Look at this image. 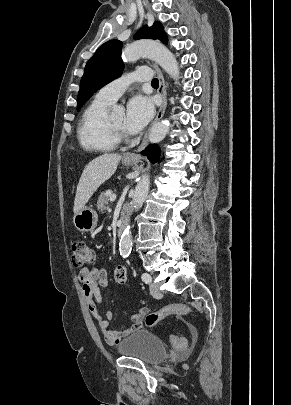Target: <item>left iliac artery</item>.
Listing matches in <instances>:
<instances>
[{"mask_svg": "<svg viewBox=\"0 0 291 405\" xmlns=\"http://www.w3.org/2000/svg\"><path fill=\"white\" fill-rule=\"evenodd\" d=\"M141 278H142V281L145 282L146 284H148L152 281V277L148 273H143Z\"/></svg>", "mask_w": 291, "mask_h": 405, "instance_id": "44dca946", "label": "left iliac artery"}]
</instances>
